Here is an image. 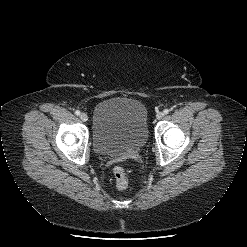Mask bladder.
Masks as SVG:
<instances>
[{"label":"bladder","instance_id":"1","mask_svg":"<svg viewBox=\"0 0 247 247\" xmlns=\"http://www.w3.org/2000/svg\"><path fill=\"white\" fill-rule=\"evenodd\" d=\"M148 112L134 98L114 97L98 103L93 112L92 143L101 155L125 156L145 146Z\"/></svg>","mask_w":247,"mask_h":247}]
</instances>
